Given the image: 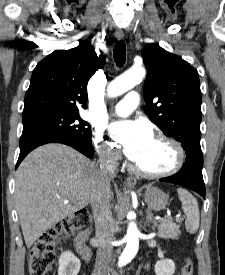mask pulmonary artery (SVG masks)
Listing matches in <instances>:
<instances>
[{
  "label": "pulmonary artery",
  "instance_id": "e3ab8cb5",
  "mask_svg": "<svg viewBox=\"0 0 225 275\" xmlns=\"http://www.w3.org/2000/svg\"><path fill=\"white\" fill-rule=\"evenodd\" d=\"M140 102L139 93L136 91L128 92L124 99L119 101L114 107L113 112L119 116L129 115L135 108L138 107Z\"/></svg>",
  "mask_w": 225,
  "mask_h": 275
}]
</instances>
